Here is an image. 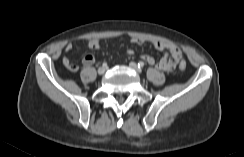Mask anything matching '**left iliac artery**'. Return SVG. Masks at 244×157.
<instances>
[{
	"label": "left iliac artery",
	"instance_id": "left-iliac-artery-1",
	"mask_svg": "<svg viewBox=\"0 0 244 157\" xmlns=\"http://www.w3.org/2000/svg\"><path fill=\"white\" fill-rule=\"evenodd\" d=\"M138 67H139V68H143V67H144V63H143L142 61H140V62L138 63Z\"/></svg>",
	"mask_w": 244,
	"mask_h": 157
}]
</instances>
